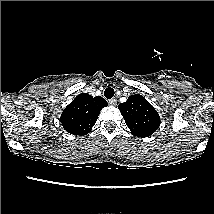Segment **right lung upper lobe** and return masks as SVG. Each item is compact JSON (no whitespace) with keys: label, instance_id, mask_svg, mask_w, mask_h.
Listing matches in <instances>:
<instances>
[{"label":"right lung upper lobe","instance_id":"1","mask_svg":"<svg viewBox=\"0 0 214 214\" xmlns=\"http://www.w3.org/2000/svg\"><path fill=\"white\" fill-rule=\"evenodd\" d=\"M108 105L102 97L79 94L62 112L60 122L73 135H86L95 125L100 111Z\"/></svg>","mask_w":214,"mask_h":214}]
</instances>
